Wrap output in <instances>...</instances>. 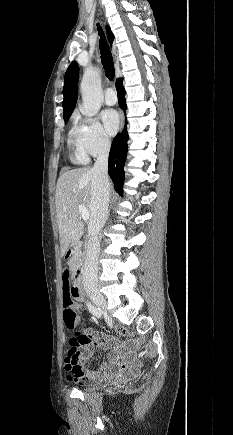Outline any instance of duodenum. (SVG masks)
Here are the masks:
<instances>
[{
	"label": "duodenum",
	"instance_id": "duodenum-1",
	"mask_svg": "<svg viewBox=\"0 0 233 435\" xmlns=\"http://www.w3.org/2000/svg\"><path fill=\"white\" fill-rule=\"evenodd\" d=\"M80 248H82V243L80 241L71 244L64 252L63 259L65 261H68L72 256L73 252L76 249H80ZM82 277H83V269L78 268L75 272V282L72 285V290H71L72 296L78 301H82L84 299V292L82 288Z\"/></svg>",
	"mask_w": 233,
	"mask_h": 435
}]
</instances>
